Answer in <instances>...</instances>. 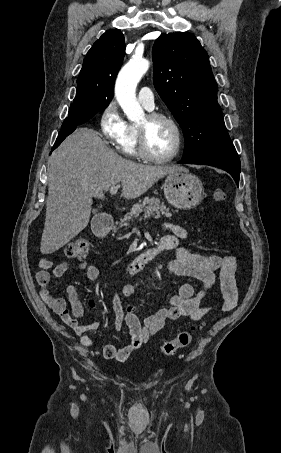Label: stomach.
I'll list each match as a JSON object with an SVG mask.
<instances>
[{
    "label": "stomach",
    "mask_w": 281,
    "mask_h": 453,
    "mask_svg": "<svg viewBox=\"0 0 281 453\" xmlns=\"http://www.w3.org/2000/svg\"><path fill=\"white\" fill-rule=\"evenodd\" d=\"M163 186L165 198L168 202L175 208H182V210L198 206L204 196V188L200 178L189 170L171 172Z\"/></svg>",
    "instance_id": "0dacf381"
}]
</instances>
